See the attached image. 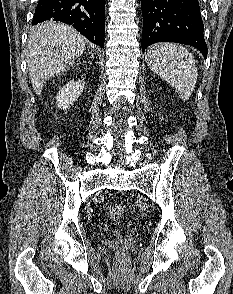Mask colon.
I'll return each mask as SVG.
<instances>
[{"label":"colon","instance_id":"5ec220e1","mask_svg":"<svg viewBox=\"0 0 233 294\" xmlns=\"http://www.w3.org/2000/svg\"><path fill=\"white\" fill-rule=\"evenodd\" d=\"M125 211H126L125 206L121 204H116L109 208V216L112 219H119L120 217L124 215ZM120 259L123 260V255L120 257Z\"/></svg>","mask_w":233,"mask_h":294}]
</instances>
